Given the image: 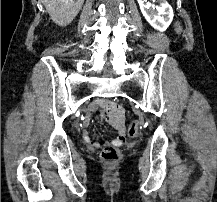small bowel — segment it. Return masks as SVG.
Listing matches in <instances>:
<instances>
[{"mask_svg":"<svg viewBox=\"0 0 217 202\" xmlns=\"http://www.w3.org/2000/svg\"><path fill=\"white\" fill-rule=\"evenodd\" d=\"M98 105L101 106L103 113H107V121H110V126H113L114 130L117 133L116 138L106 142V145L119 146L124 144L126 141L125 126L123 113H120L122 109V104H116L115 101L93 102L89 105L87 109V119H89L91 115L97 110ZM82 137L85 140V142L89 144L92 148L98 149L102 146L100 142L92 141L90 135L86 131L82 132Z\"/></svg>","mask_w":217,"mask_h":202,"instance_id":"small-bowel-1","label":"small bowel"}]
</instances>
